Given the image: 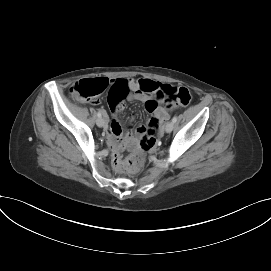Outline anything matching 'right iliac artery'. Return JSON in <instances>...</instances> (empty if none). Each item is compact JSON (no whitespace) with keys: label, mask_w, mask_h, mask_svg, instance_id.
I'll use <instances>...</instances> for the list:
<instances>
[{"label":"right iliac artery","mask_w":271,"mask_h":271,"mask_svg":"<svg viewBox=\"0 0 271 271\" xmlns=\"http://www.w3.org/2000/svg\"><path fill=\"white\" fill-rule=\"evenodd\" d=\"M97 116L101 118L102 114L100 112L97 113Z\"/></svg>","instance_id":"obj_1"}]
</instances>
